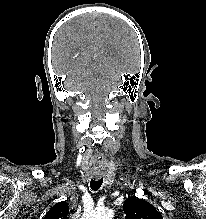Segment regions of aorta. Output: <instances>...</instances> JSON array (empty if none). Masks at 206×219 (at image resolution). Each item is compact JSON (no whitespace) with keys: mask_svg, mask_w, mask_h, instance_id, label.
<instances>
[{"mask_svg":"<svg viewBox=\"0 0 206 219\" xmlns=\"http://www.w3.org/2000/svg\"><path fill=\"white\" fill-rule=\"evenodd\" d=\"M82 219H113V211L109 208L96 209L86 213Z\"/></svg>","mask_w":206,"mask_h":219,"instance_id":"762f6f07","label":"aorta"}]
</instances>
